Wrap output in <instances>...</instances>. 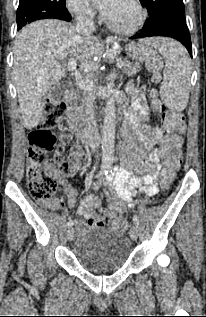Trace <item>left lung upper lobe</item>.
<instances>
[{"instance_id":"left-lung-upper-lobe-1","label":"left lung upper lobe","mask_w":206,"mask_h":317,"mask_svg":"<svg viewBox=\"0 0 206 317\" xmlns=\"http://www.w3.org/2000/svg\"><path fill=\"white\" fill-rule=\"evenodd\" d=\"M140 2L149 13V19L145 22L144 27L165 19L186 22L182 0H140Z\"/></svg>"}]
</instances>
